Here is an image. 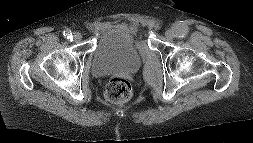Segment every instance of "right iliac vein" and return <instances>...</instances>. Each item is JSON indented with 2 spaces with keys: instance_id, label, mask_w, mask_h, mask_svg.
<instances>
[{
  "instance_id": "obj_1",
  "label": "right iliac vein",
  "mask_w": 253,
  "mask_h": 143,
  "mask_svg": "<svg viewBox=\"0 0 253 143\" xmlns=\"http://www.w3.org/2000/svg\"><path fill=\"white\" fill-rule=\"evenodd\" d=\"M81 39H82L81 33H79V32H74V33H73V40H74L75 42H79V41H81Z\"/></svg>"
}]
</instances>
